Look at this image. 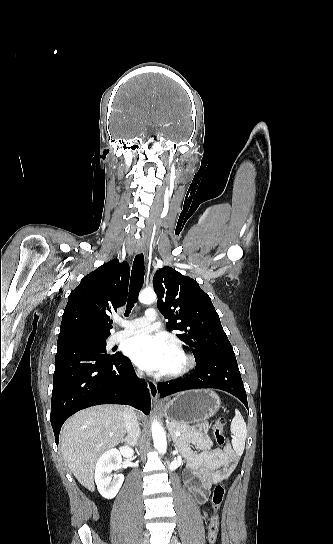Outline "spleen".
<instances>
[{"label":"spleen","mask_w":333,"mask_h":544,"mask_svg":"<svg viewBox=\"0 0 333 544\" xmlns=\"http://www.w3.org/2000/svg\"><path fill=\"white\" fill-rule=\"evenodd\" d=\"M231 432L233 434L232 446L235 452L241 455L244 451L247 428L241 413L237 409L235 410V416L231 422Z\"/></svg>","instance_id":"spleen-1"}]
</instances>
